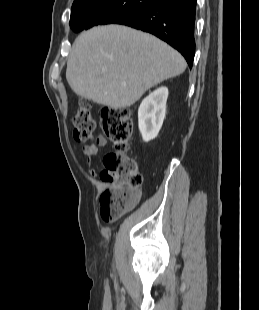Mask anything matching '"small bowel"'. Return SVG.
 <instances>
[{
    "instance_id": "c3829d8e",
    "label": "small bowel",
    "mask_w": 259,
    "mask_h": 310,
    "mask_svg": "<svg viewBox=\"0 0 259 310\" xmlns=\"http://www.w3.org/2000/svg\"><path fill=\"white\" fill-rule=\"evenodd\" d=\"M106 145H107V139L103 136H98L96 138L95 143L86 145L82 150L83 156L87 160L88 173L91 177H96L97 175V171L93 165L92 159L98 153L99 148L104 147Z\"/></svg>"
}]
</instances>
